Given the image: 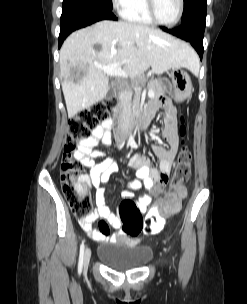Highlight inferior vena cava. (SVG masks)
<instances>
[{
  "instance_id": "1",
  "label": "inferior vena cava",
  "mask_w": 247,
  "mask_h": 304,
  "mask_svg": "<svg viewBox=\"0 0 247 304\" xmlns=\"http://www.w3.org/2000/svg\"><path fill=\"white\" fill-rule=\"evenodd\" d=\"M132 93L130 90L122 89L119 92V100L122 107L121 116L119 119V126L123 136H126L131 127V117H132Z\"/></svg>"
}]
</instances>
